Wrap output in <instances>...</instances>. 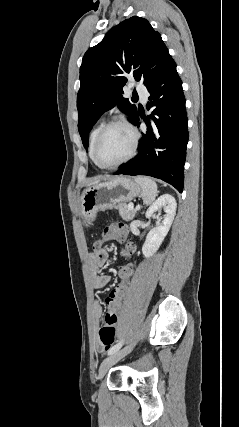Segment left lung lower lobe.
Wrapping results in <instances>:
<instances>
[{
  "label": "left lung lower lobe",
  "instance_id": "0a47b994",
  "mask_svg": "<svg viewBox=\"0 0 239 427\" xmlns=\"http://www.w3.org/2000/svg\"><path fill=\"white\" fill-rule=\"evenodd\" d=\"M146 87L150 93L146 107L153 110L152 114L146 118L139 112L132 123L139 126V119L143 118L147 134H142L137 156L122 164L115 174L152 176L182 192L188 129L185 97L175 62Z\"/></svg>",
  "mask_w": 239,
  "mask_h": 427
}]
</instances>
